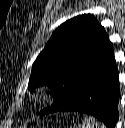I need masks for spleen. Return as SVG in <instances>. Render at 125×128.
<instances>
[{
    "instance_id": "obj_1",
    "label": "spleen",
    "mask_w": 125,
    "mask_h": 128,
    "mask_svg": "<svg viewBox=\"0 0 125 128\" xmlns=\"http://www.w3.org/2000/svg\"><path fill=\"white\" fill-rule=\"evenodd\" d=\"M78 128H105L104 125L98 123L92 117H85L82 124H79Z\"/></svg>"
}]
</instances>
